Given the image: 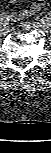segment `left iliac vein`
<instances>
[{
    "label": "left iliac vein",
    "instance_id": "left-iliac-vein-1",
    "mask_svg": "<svg viewBox=\"0 0 51 153\" xmlns=\"http://www.w3.org/2000/svg\"><path fill=\"white\" fill-rule=\"evenodd\" d=\"M25 26L27 29L41 30L43 32L49 31V27H50L47 24H43L41 22H27Z\"/></svg>",
    "mask_w": 51,
    "mask_h": 153
}]
</instances>
